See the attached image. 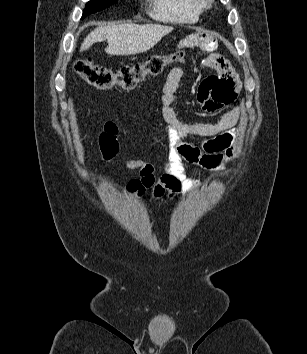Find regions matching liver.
<instances>
[{"label":"liver","mask_w":307,"mask_h":354,"mask_svg":"<svg viewBox=\"0 0 307 354\" xmlns=\"http://www.w3.org/2000/svg\"><path fill=\"white\" fill-rule=\"evenodd\" d=\"M173 27L158 24H117L94 29L83 41L80 52L107 39L108 55H134L153 48Z\"/></svg>","instance_id":"obj_1"}]
</instances>
